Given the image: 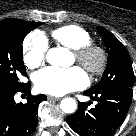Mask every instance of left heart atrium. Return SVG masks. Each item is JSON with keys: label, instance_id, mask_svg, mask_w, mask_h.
<instances>
[{"label": "left heart atrium", "instance_id": "left-heart-atrium-1", "mask_svg": "<svg viewBox=\"0 0 136 136\" xmlns=\"http://www.w3.org/2000/svg\"><path fill=\"white\" fill-rule=\"evenodd\" d=\"M87 83L88 78L79 67L67 69L47 67L34 76V84L39 92L57 96L82 89Z\"/></svg>", "mask_w": 136, "mask_h": 136}]
</instances>
